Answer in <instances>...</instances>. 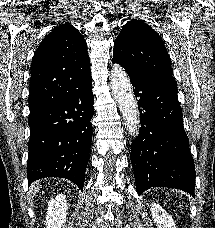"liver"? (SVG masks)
<instances>
[{"label":"liver","mask_w":215,"mask_h":228,"mask_svg":"<svg viewBox=\"0 0 215 228\" xmlns=\"http://www.w3.org/2000/svg\"><path fill=\"white\" fill-rule=\"evenodd\" d=\"M30 190H32L33 194H37V192H39V190H40V186H39L38 182H36V184H33V186H31Z\"/></svg>","instance_id":"6515ba94"}]
</instances>
